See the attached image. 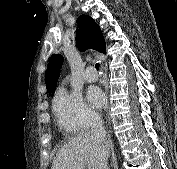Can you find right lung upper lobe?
<instances>
[{
  "instance_id": "1",
  "label": "right lung upper lobe",
  "mask_w": 177,
  "mask_h": 169,
  "mask_svg": "<svg viewBox=\"0 0 177 169\" xmlns=\"http://www.w3.org/2000/svg\"><path fill=\"white\" fill-rule=\"evenodd\" d=\"M79 19L82 21L81 27L77 33V46L82 51L92 48L96 51L105 53L106 44L100 27L88 15H81ZM63 63V57L60 54H53L49 67L45 75V83L47 92L52 93L57 84L59 77V68Z\"/></svg>"
}]
</instances>
